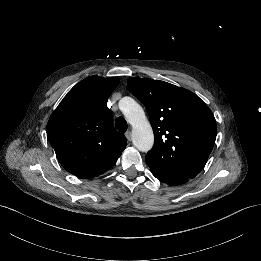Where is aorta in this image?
<instances>
[{"label":"aorta","mask_w":261,"mask_h":261,"mask_svg":"<svg viewBox=\"0 0 261 261\" xmlns=\"http://www.w3.org/2000/svg\"><path fill=\"white\" fill-rule=\"evenodd\" d=\"M120 110L126 121L132 126V142L142 152H148L154 144L152 127L145 116L143 108L131 97L120 101Z\"/></svg>","instance_id":"aorta-1"}]
</instances>
